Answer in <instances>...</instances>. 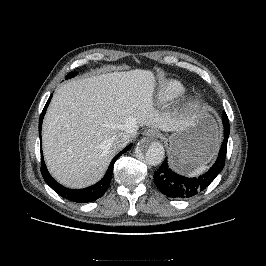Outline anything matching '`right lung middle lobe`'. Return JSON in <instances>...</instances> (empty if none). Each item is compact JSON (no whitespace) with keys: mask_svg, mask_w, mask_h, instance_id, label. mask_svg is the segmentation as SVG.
Here are the masks:
<instances>
[{"mask_svg":"<svg viewBox=\"0 0 266 266\" xmlns=\"http://www.w3.org/2000/svg\"><path fill=\"white\" fill-rule=\"evenodd\" d=\"M76 75L75 72H70L67 76H66V79H69V78H72Z\"/></svg>","mask_w":266,"mask_h":266,"instance_id":"1","label":"right lung middle lobe"}]
</instances>
